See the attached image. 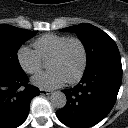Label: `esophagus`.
<instances>
[{
	"mask_svg": "<svg viewBox=\"0 0 128 128\" xmlns=\"http://www.w3.org/2000/svg\"><path fill=\"white\" fill-rule=\"evenodd\" d=\"M40 94L41 95H49L51 94V91L45 90V89H40Z\"/></svg>",
	"mask_w": 128,
	"mask_h": 128,
	"instance_id": "34e87169",
	"label": "esophagus"
}]
</instances>
